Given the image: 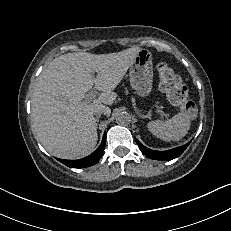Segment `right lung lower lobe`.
I'll return each instance as SVG.
<instances>
[{"label": "right lung lower lobe", "instance_id": "98d812e1", "mask_svg": "<svg viewBox=\"0 0 231 231\" xmlns=\"http://www.w3.org/2000/svg\"><path fill=\"white\" fill-rule=\"evenodd\" d=\"M105 148V134L103 136L102 142L100 146L89 156L79 159V160H64V159H57L61 163L65 164L70 168H84L89 167L96 164L99 159L102 157Z\"/></svg>", "mask_w": 231, "mask_h": 231}]
</instances>
